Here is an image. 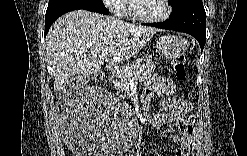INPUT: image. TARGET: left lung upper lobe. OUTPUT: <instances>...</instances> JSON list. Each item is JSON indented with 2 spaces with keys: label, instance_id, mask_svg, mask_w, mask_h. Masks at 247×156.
<instances>
[{
  "label": "left lung upper lobe",
  "instance_id": "left-lung-upper-lobe-1",
  "mask_svg": "<svg viewBox=\"0 0 247 156\" xmlns=\"http://www.w3.org/2000/svg\"><path fill=\"white\" fill-rule=\"evenodd\" d=\"M196 0H171L172 13L170 17L181 14L185 9Z\"/></svg>",
  "mask_w": 247,
  "mask_h": 156
}]
</instances>
